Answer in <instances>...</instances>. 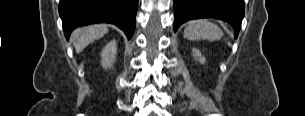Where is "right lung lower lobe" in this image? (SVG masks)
<instances>
[{
  "label": "right lung lower lobe",
  "instance_id": "right-lung-lower-lobe-1",
  "mask_svg": "<svg viewBox=\"0 0 305 116\" xmlns=\"http://www.w3.org/2000/svg\"><path fill=\"white\" fill-rule=\"evenodd\" d=\"M138 0H60L58 10L67 39L71 31L92 23H112L130 39L135 31Z\"/></svg>",
  "mask_w": 305,
  "mask_h": 116
}]
</instances>
